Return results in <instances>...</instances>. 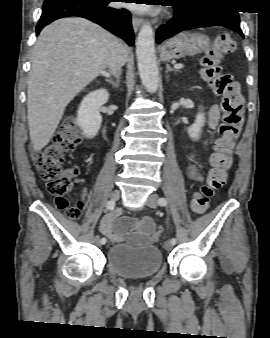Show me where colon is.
I'll return each instance as SVG.
<instances>
[{
	"mask_svg": "<svg viewBox=\"0 0 270 338\" xmlns=\"http://www.w3.org/2000/svg\"><path fill=\"white\" fill-rule=\"evenodd\" d=\"M235 50V42L228 34L217 36L201 58V75L209 81L215 93L222 97V123L219 137L215 139L211 154V169L206 182L192 196L191 207L195 213L203 214L208 210L209 201L214 193L227 181L228 170L232 166L231 151L243 124V103L239 85L232 76L222 72L220 63L224 56ZM83 136L77 120L70 118L62 124L49 145L33 153L34 166L44 181L47 191L55 200V205L69 218L82 216L83 205L78 201L69 204L64 197L73 186L74 170L63 166L65 155L72 152ZM127 227H138L127 223Z\"/></svg>",
	"mask_w": 270,
	"mask_h": 338,
	"instance_id": "5ec220e1",
	"label": "colon"
}]
</instances>
